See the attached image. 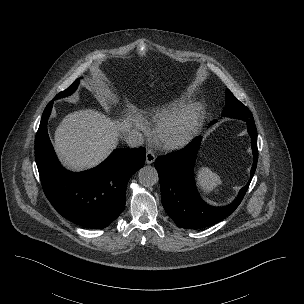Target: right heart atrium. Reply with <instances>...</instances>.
Wrapping results in <instances>:
<instances>
[{
  "label": "right heart atrium",
  "instance_id": "obj_1",
  "mask_svg": "<svg viewBox=\"0 0 304 304\" xmlns=\"http://www.w3.org/2000/svg\"><path fill=\"white\" fill-rule=\"evenodd\" d=\"M135 126L139 130H142V131L146 130V126H145L144 122L141 120L136 121Z\"/></svg>",
  "mask_w": 304,
  "mask_h": 304
}]
</instances>
